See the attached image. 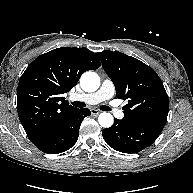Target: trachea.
Listing matches in <instances>:
<instances>
[{
  "label": "trachea",
  "instance_id": "3493384b",
  "mask_svg": "<svg viewBox=\"0 0 193 193\" xmlns=\"http://www.w3.org/2000/svg\"><path fill=\"white\" fill-rule=\"evenodd\" d=\"M72 105L76 106V107H80V108L81 107H85V103L84 102H77V101H75V102H72ZM101 110H103V111H110L111 109H110V107L104 105V106H101Z\"/></svg>",
  "mask_w": 193,
  "mask_h": 193
}]
</instances>
